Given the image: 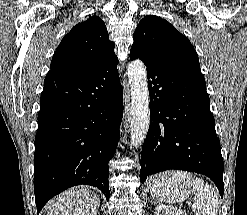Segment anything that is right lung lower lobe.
Segmentation results:
<instances>
[{
  "mask_svg": "<svg viewBox=\"0 0 247 215\" xmlns=\"http://www.w3.org/2000/svg\"><path fill=\"white\" fill-rule=\"evenodd\" d=\"M117 64L84 76L47 73L35 137L37 213L53 196L79 184L97 187L109 199L108 163L123 115Z\"/></svg>",
  "mask_w": 247,
  "mask_h": 215,
  "instance_id": "obj_1",
  "label": "right lung lower lobe"
}]
</instances>
